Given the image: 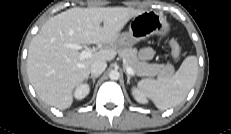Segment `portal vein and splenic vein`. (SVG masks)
Here are the masks:
<instances>
[{
	"label": "portal vein and splenic vein",
	"instance_id": "18ae733b",
	"mask_svg": "<svg viewBox=\"0 0 231 134\" xmlns=\"http://www.w3.org/2000/svg\"><path fill=\"white\" fill-rule=\"evenodd\" d=\"M67 46H68L69 48H71V49L82 50V51H81V54H80V58H81V59L91 57V55H92V51L83 49L81 45H77V44H68ZM126 71H127V73H129L130 75H135L134 70H133L131 67H129V66L126 67Z\"/></svg>",
	"mask_w": 231,
	"mask_h": 134
}]
</instances>
